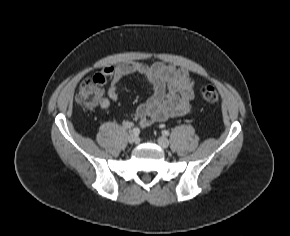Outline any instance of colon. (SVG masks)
<instances>
[{
	"label": "colon",
	"mask_w": 290,
	"mask_h": 236,
	"mask_svg": "<svg viewBox=\"0 0 290 236\" xmlns=\"http://www.w3.org/2000/svg\"><path fill=\"white\" fill-rule=\"evenodd\" d=\"M103 80L97 77L83 80L76 93V100L80 105L94 108L101 96ZM201 98L207 103H215L219 100V94L214 86L205 85L200 88Z\"/></svg>",
	"instance_id": "5ec220e1"
}]
</instances>
